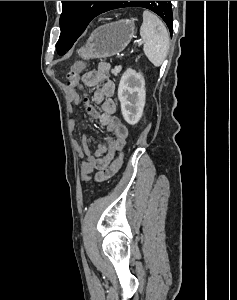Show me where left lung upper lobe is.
Wrapping results in <instances>:
<instances>
[{
	"mask_svg": "<svg viewBox=\"0 0 237 300\" xmlns=\"http://www.w3.org/2000/svg\"><path fill=\"white\" fill-rule=\"evenodd\" d=\"M60 16L61 34L56 44L58 54L63 55L84 32L88 24L98 15L105 12L111 1H61ZM142 7L159 15L170 30L173 28L171 1L160 8V1H121L120 8Z\"/></svg>",
	"mask_w": 237,
	"mask_h": 300,
	"instance_id": "5c2ea615",
	"label": "left lung upper lobe"
}]
</instances>
